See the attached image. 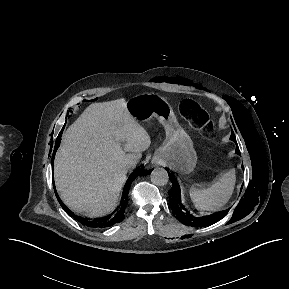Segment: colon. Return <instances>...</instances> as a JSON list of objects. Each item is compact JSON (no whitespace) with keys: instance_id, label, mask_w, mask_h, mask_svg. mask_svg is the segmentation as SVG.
Listing matches in <instances>:
<instances>
[{"instance_id":"colon-1","label":"colon","mask_w":289,"mask_h":289,"mask_svg":"<svg viewBox=\"0 0 289 289\" xmlns=\"http://www.w3.org/2000/svg\"><path fill=\"white\" fill-rule=\"evenodd\" d=\"M186 115L202 125L206 124L205 116L202 109L192 100H184L180 105Z\"/></svg>"}]
</instances>
